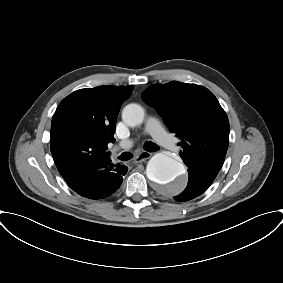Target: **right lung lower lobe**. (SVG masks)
Masks as SVG:
<instances>
[{
	"label": "right lung lower lobe",
	"mask_w": 283,
	"mask_h": 283,
	"mask_svg": "<svg viewBox=\"0 0 283 283\" xmlns=\"http://www.w3.org/2000/svg\"><path fill=\"white\" fill-rule=\"evenodd\" d=\"M126 173L125 165L113 164L108 156L77 168L64 179L79 195L90 199H101L110 196L119 188Z\"/></svg>",
	"instance_id": "98d812e1"
}]
</instances>
